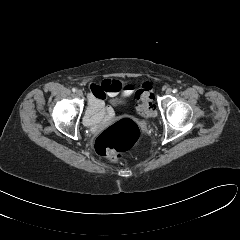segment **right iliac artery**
Masks as SVG:
<instances>
[{"instance_id": "82829eb1", "label": "right iliac artery", "mask_w": 240, "mask_h": 240, "mask_svg": "<svg viewBox=\"0 0 240 240\" xmlns=\"http://www.w3.org/2000/svg\"><path fill=\"white\" fill-rule=\"evenodd\" d=\"M72 91H73V92H76V89H75V88H72Z\"/></svg>"}]
</instances>
